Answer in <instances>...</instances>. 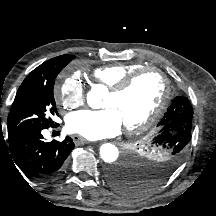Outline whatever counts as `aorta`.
I'll return each instance as SVG.
<instances>
[{
	"label": "aorta",
	"mask_w": 216,
	"mask_h": 216,
	"mask_svg": "<svg viewBox=\"0 0 216 216\" xmlns=\"http://www.w3.org/2000/svg\"><path fill=\"white\" fill-rule=\"evenodd\" d=\"M104 87L95 85L87 94V103L93 109H98L101 105V98L103 96ZM100 156L106 163H114L119 156L118 148L111 143H105L100 147Z\"/></svg>",
	"instance_id": "762f6f07"
}]
</instances>
